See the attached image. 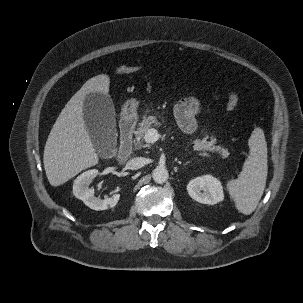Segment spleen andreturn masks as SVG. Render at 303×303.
Here are the masks:
<instances>
[{
  "mask_svg": "<svg viewBox=\"0 0 303 303\" xmlns=\"http://www.w3.org/2000/svg\"><path fill=\"white\" fill-rule=\"evenodd\" d=\"M250 153L237 179L227 182V189L239 212L251 214L257 207L267 179V144L264 132L255 127L248 140Z\"/></svg>",
  "mask_w": 303,
  "mask_h": 303,
  "instance_id": "obj_1",
  "label": "spleen"
}]
</instances>
